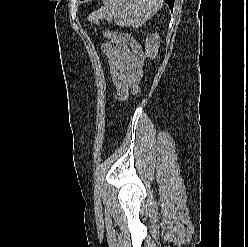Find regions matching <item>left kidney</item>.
<instances>
[{
    "instance_id": "5707ae66",
    "label": "left kidney",
    "mask_w": 248,
    "mask_h": 247,
    "mask_svg": "<svg viewBox=\"0 0 248 247\" xmlns=\"http://www.w3.org/2000/svg\"><path fill=\"white\" fill-rule=\"evenodd\" d=\"M160 36L158 33L150 34L145 40V54L149 59H155L158 54Z\"/></svg>"
}]
</instances>
